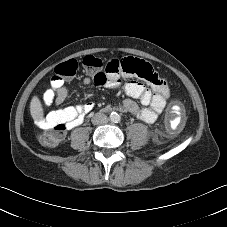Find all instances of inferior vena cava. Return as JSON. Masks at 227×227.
I'll return each mask as SVG.
<instances>
[{
	"label": "inferior vena cava",
	"mask_w": 227,
	"mask_h": 227,
	"mask_svg": "<svg viewBox=\"0 0 227 227\" xmlns=\"http://www.w3.org/2000/svg\"><path fill=\"white\" fill-rule=\"evenodd\" d=\"M108 118L105 114L103 113H96L93 117H92V123L95 125H102L107 123Z\"/></svg>",
	"instance_id": "602c4592"
}]
</instances>
